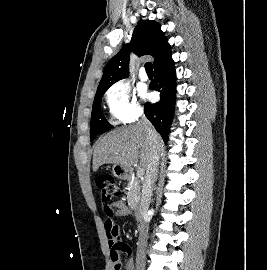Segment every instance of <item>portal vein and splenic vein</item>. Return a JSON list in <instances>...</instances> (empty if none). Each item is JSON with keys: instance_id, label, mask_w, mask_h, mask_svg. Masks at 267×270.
I'll return each mask as SVG.
<instances>
[{"instance_id": "1", "label": "portal vein and splenic vein", "mask_w": 267, "mask_h": 270, "mask_svg": "<svg viewBox=\"0 0 267 270\" xmlns=\"http://www.w3.org/2000/svg\"><path fill=\"white\" fill-rule=\"evenodd\" d=\"M144 175V169L143 168H138V171H137V176L140 178Z\"/></svg>"}]
</instances>
